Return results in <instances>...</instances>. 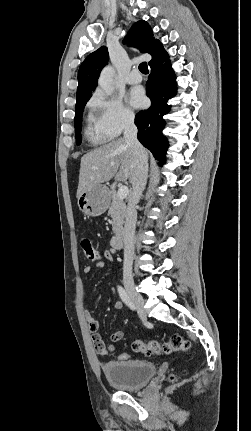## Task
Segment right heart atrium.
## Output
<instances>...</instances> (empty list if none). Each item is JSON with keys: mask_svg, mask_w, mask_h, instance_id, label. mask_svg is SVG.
Returning a JSON list of instances; mask_svg holds the SVG:
<instances>
[{"mask_svg": "<svg viewBox=\"0 0 251 431\" xmlns=\"http://www.w3.org/2000/svg\"><path fill=\"white\" fill-rule=\"evenodd\" d=\"M91 111L90 121L95 133L102 139L119 136L133 125L134 112L117 96H107L96 91L88 102Z\"/></svg>", "mask_w": 251, "mask_h": 431, "instance_id": "d8ad5b80", "label": "right heart atrium"}]
</instances>
